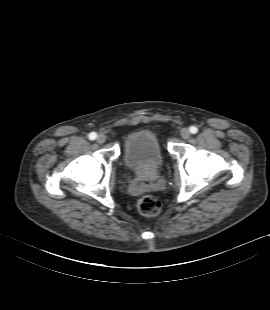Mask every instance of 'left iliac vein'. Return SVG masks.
<instances>
[{
	"instance_id": "1",
	"label": "left iliac vein",
	"mask_w": 270,
	"mask_h": 310,
	"mask_svg": "<svg viewBox=\"0 0 270 310\" xmlns=\"http://www.w3.org/2000/svg\"><path fill=\"white\" fill-rule=\"evenodd\" d=\"M191 133L189 131V129L187 128H183L181 131H180V136L183 138V139H188L190 137Z\"/></svg>"
}]
</instances>
